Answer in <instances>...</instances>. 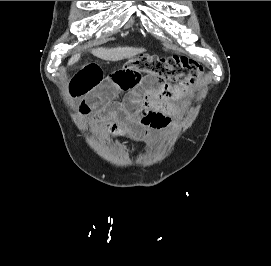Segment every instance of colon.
Returning a JSON list of instances; mask_svg holds the SVG:
<instances>
[{
  "label": "colon",
  "instance_id": "obj_1",
  "mask_svg": "<svg viewBox=\"0 0 271 266\" xmlns=\"http://www.w3.org/2000/svg\"><path fill=\"white\" fill-rule=\"evenodd\" d=\"M123 67L136 68L165 81L177 82L184 88L194 84L200 77V70L195 65H185L155 55H140L125 62Z\"/></svg>",
  "mask_w": 271,
  "mask_h": 266
}]
</instances>
